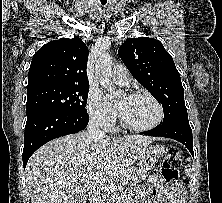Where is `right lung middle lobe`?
<instances>
[{"label": "right lung middle lobe", "mask_w": 222, "mask_h": 203, "mask_svg": "<svg viewBox=\"0 0 222 203\" xmlns=\"http://www.w3.org/2000/svg\"><path fill=\"white\" fill-rule=\"evenodd\" d=\"M89 85H56L27 90L26 114L55 110L87 113Z\"/></svg>", "instance_id": "obj_1"}]
</instances>
